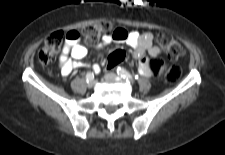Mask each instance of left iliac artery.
<instances>
[{
  "label": "left iliac artery",
  "instance_id": "1",
  "mask_svg": "<svg viewBox=\"0 0 225 155\" xmlns=\"http://www.w3.org/2000/svg\"><path fill=\"white\" fill-rule=\"evenodd\" d=\"M116 72L118 75H120L123 78H126L127 80H130L132 82L135 81L134 77L124 68L118 67Z\"/></svg>",
  "mask_w": 225,
  "mask_h": 155
}]
</instances>
